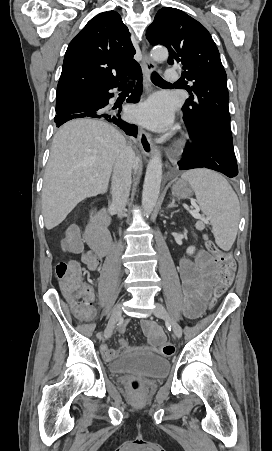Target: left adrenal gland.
Listing matches in <instances>:
<instances>
[{"mask_svg": "<svg viewBox=\"0 0 272 451\" xmlns=\"http://www.w3.org/2000/svg\"><path fill=\"white\" fill-rule=\"evenodd\" d=\"M168 208H178V206H176V204H175L174 198H173L171 204H169Z\"/></svg>", "mask_w": 272, "mask_h": 451, "instance_id": "1", "label": "left adrenal gland"}]
</instances>
